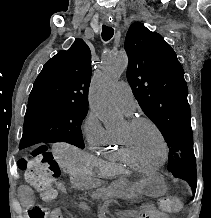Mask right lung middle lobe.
Masks as SVG:
<instances>
[{"label": "right lung middle lobe", "mask_w": 211, "mask_h": 218, "mask_svg": "<svg viewBox=\"0 0 211 218\" xmlns=\"http://www.w3.org/2000/svg\"><path fill=\"white\" fill-rule=\"evenodd\" d=\"M88 106L70 103H33L27 105L23 138L34 142L66 141L84 147L81 123Z\"/></svg>", "instance_id": "1"}]
</instances>
